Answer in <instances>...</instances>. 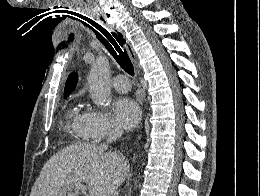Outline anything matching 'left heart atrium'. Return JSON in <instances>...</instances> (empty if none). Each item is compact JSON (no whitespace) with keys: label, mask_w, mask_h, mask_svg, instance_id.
<instances>
[{"label":"left heart atrium","mask_w":260,"mask_h":196,"mask_svg":"<svg viewBox=\"0 0 260 196\" xmlns=\"http://www.w3.org/2000/svg\"><path fill=\"white\" fill-rule=\"evenodd\" d=\"M114 114L119 125L125 129L135 127L141 117L138 105L128 97H121L114 103Z\"/></svg>","instance_id":"obj_1"}]
</instances>
